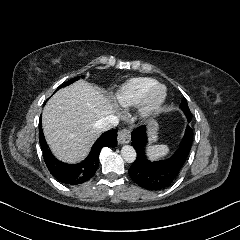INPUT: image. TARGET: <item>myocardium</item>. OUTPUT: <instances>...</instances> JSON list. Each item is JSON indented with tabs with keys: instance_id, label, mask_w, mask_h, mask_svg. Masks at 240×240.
<instances>
[{
	"instance_id": "1",
	"label": "myocardium",
	"mask_w": 240,
	"mask_h": 240,
	"mask_svg": "<svg viewBox=\"0 0 240 240\" xmlns=\"http://www.w3.org/2000/svg\"><path fill=\"white\" fill-rule=\"evenodd\" d=\"M167 97V90L164 85L157 84L153 89L148 91L142 101L138 116L141 120H148L155 115L165 102Z\"/></svg>"
}]
</instances>
